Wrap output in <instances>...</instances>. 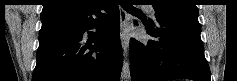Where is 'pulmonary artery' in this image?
I'll list each match as a JSON object with an SVG mask.
<instances>
[{
  "label": "pulmonary artery",
  "mask_w": 237,
  "mask_h": 81,
  "mask_svg": "<svg viewBox=\"0 0 237 81\" xmlns=\"http://www.w3.org/2000/svg\"><path fill=\"white\" fill-rule=\"evenodd\" d=\"M150 13L153 15V8L151 6L148 7Z\"/></svg>",
  "instance_id": "1"
}]
</instances>
